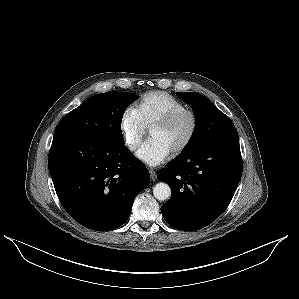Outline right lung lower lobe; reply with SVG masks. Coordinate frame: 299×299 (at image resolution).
I'll list each match as a JSON object with an SVG mask.
<instances>
[{"instance_id": "98d812e1", "label": "right lung lower lobe", "mask_w": 299, "mask_h": 299, "mask_svg": "<svg viewBox=\"0 0 299 299\" xmlns=\"http://www.w3.org/2000/svg\"><path fill=\"white\" fill-rule=\"evenodd\" d=\"M48 167L58 198L82 226L106 231L124 224L134 198L150 182L125 145L54 135Z\"/></svg>"}]
</instances>
